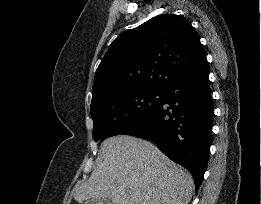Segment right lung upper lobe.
<instances>
[{
  "label": "right lung upper lobe",
  "mask_w": 261,
  "mask_h": 204,
  "mask_svg": "<svg viewBox=\"0 0 261 204\" xmlns=\"http://www.w3.org/2000/svg\"><path fill=\"white\" fill-rule=\"evenodd\" d=\"M205 59L189 22L175 14L155 16L111 43L95 73L91 106L117 91H163Z\"/></svg>",
  "instance_id": "obj_1"
}]
</instances>
